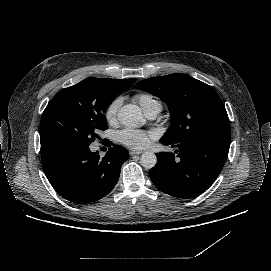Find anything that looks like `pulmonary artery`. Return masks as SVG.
I'll return each instance as SVG.
<instances>
[{
  "label": "pulmonary artery",
  "mask_w": 271,
  "mask_h": 271,
  "mask_svg": "<svg viewBox=\"0 0 271 271\" xmlns=\"http://www.w3.org/2000/svg\"><path fill=\"white\" fill-rule=\"evenodd\" d=\"M145 113L148 118H154L157 114L155 111H146Z\"/></svg>",
  "instance_id": "e3ab8cb5"
}]
</instances>
